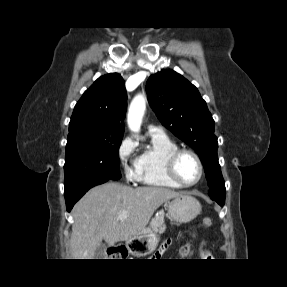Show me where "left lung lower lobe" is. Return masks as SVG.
Here are the masks:
<instances>
[{
    "instance_id": "0a47b994",
    "label": "left lung lower lobe",
    "mask_w": 287,
    "mask_h": 287,
    "mask_svg": "<svg viewBox=\"0 0 287 287\" xmlns=\"http://www.w3.org/2000/svg\"><path fill=\"white\" fill-rule=\"evenodd\" d=\"M213 200V199H212ZM220 206H223L225 201H218V200H215Z\"/></svg>"
}]
</instances>
